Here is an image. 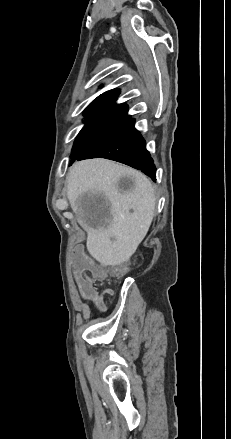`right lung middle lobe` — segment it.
Here are the masks:
<instances>
[{
    "mask_svg": "<svg viewBox=\"0 0 231 439\" xmlns=\"http://www.w3.org/2000/svg\"><path fill=\"white\" fill-rule=\"evenodd\" d=\"M123 120L104 117H87L71 152V163L112 133Z\"/></svg>",
    "mask_w": 231,
    "mask_h": 439,
    "instance_id": "dd1d6c3e",
    "label": "right lung middle lobe"
}]
</instances>
